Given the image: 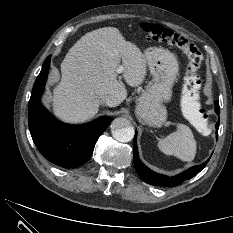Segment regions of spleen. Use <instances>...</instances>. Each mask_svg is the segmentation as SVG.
I'll return each mask as SVG.
<instances>
[{"instance_id": "obj_1", "label": "spleen", "mask_w": 233, "mask_h": 233, "mask_svg": "<svg viewBox=\"0 0 233 233\" xmlns=\"http://www.w3.org/2000/svg\"><path fill=\"white\" fill-rule=\"evenodd\" d=\"M194 112L192 120L197 122L200 119L198 113V104L193 105ZM171 123H166L169 126ZM177 130L168 136L161 138L158 142V148L166 155H173L182 161L191 162L196 155V141L191 129L183 124H176Z\"/></svg>"}]
</instances>
